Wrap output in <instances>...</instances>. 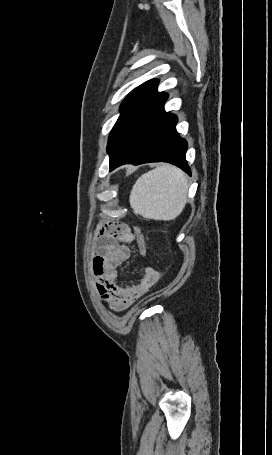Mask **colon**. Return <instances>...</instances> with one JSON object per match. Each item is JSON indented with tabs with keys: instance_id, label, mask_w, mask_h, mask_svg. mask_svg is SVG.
<instances>
[{
	"instance_id": "colon-1",
	"label": "colon",
	"mask_w": 272,
	"mask_h": 455,
	"mask_svg": "<svg viewBox=\"0 0 272 455\" xmlns=\"http://www.w3.org/2000/svg\"><path fill=\"white\" fill-rule=\"evenodd\" d=\"M135 234H136V238H137L139 254L142 259H145L147 257V244H146L145 236L140 231V229L137 227L135 228Z\"/></svg>"
}]
</instances>
